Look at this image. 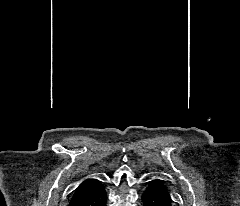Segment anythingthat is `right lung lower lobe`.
Listing matches in <instances>:
<instances>
[{"instance_id": "obj_1", "label": "right lung lower lobe", "mask_w": 240, "mask_h": 206, "mask_svg": "<svg viewBox=\"0 0 240 206\" xmlns=\"http://www.w3.org/2000/svg\"><path fill=\"white\" fill-rule=\"evenodd\" d=\"M106 191L101 184L92 194L70 202L69 206H106Z\"/></svg>"}]
</instances>
